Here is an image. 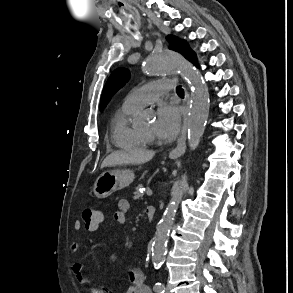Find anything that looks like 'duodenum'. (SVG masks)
I'll return each mask as SVG.
<instances>
[{
	"mask_svg": "<svg viewBox=\"0 0 293 293\" xmlns=\"http://www.w3.org/2000/svg\"><path fill=\"white\" fill-rule=\"evenodd\" d=\"M146 216L150 222L154 219V216H155V207L154 206L146 207Z\"/></svg>",
	"mask_w": 293,
	"mask_h": 293,
	"instance_id": "1",
	"label": "duodenum"
}]
</instances>
